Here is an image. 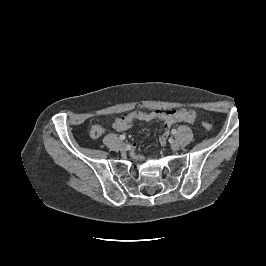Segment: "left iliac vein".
<instances>
[{
    "instance_id": "4c4485c4",
    "label": "left iliac vein",
    "mask_w": 266,
    "mask_h": 266,
    "mask_svg": "<svg viewBox=\"0 0 266 266\" xmlns=\"http://www.w3.org/2000/svg\"><path fill=\"white\" fill-rule=\"evenodd\" d=\"M171 148H172L174 151L178 150V149H179V143H178L177 141H173V142L171 143Z\"/></svg>"
}]
</instances>
